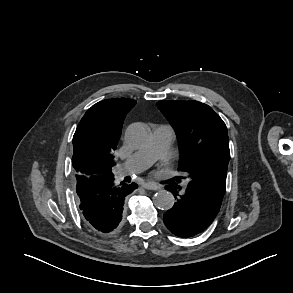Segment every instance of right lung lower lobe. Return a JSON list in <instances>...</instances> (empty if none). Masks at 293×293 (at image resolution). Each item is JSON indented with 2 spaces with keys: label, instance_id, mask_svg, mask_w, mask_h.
<instances>
[{
  "label": "right lung lower lobe",
  "instance_id": "obj_1",
  "mask_svg": "<svg viewBox=\"0 0 293 293\" xmlns=\"http://www.w3.org/2000/svg\"><path fill=\"white\" fill-rule=\"evenodd\" d=\"M114 176H76V193L81 216L93 232L108 235L123 225V205L128 194L138 186L116 187Z\"/></svg>",
  "mask_w": 293,
  "mask_h": 293
}]
</instances>
